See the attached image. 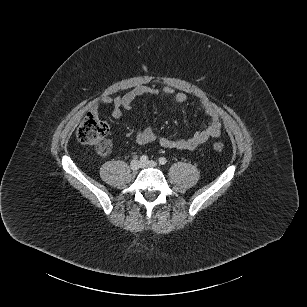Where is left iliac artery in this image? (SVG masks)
I'll list each match as a JSON object with an SVG mask.
<instances>
[{
  "mask_svg": "<svg viewBox=\"0 0 307 307\" xmlns=\"http://www.w3.org/2000/svg\"><path fill=\"white\" fill-rule=\"evenodd\" d=\"M158 162H159L160 165H165L166 162H167V160H166L165 157H160L159 160H158Z\"/></svg>",
  "mask_w": 307,
  "mask_h": 307,
  "instance_id": "left-iliac-artery-1",
  "label": "left iliac artery"
}]
</instances>
